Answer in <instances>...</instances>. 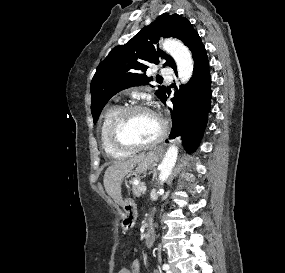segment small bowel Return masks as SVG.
Instances as JSON below:
<instances>
[{"mask_svg": "<svg viewBox=\"0 0 285 273\" xmlns=\"http://www.w3.org/2000/svg\"><path fill=\"white\" fill-rule=\"evenodd\" d=\"M124 268H125L124 273H142L141 263L138 260L133 261L129 268L126 267Z\"/></svg>", "mask_w": 285, "mask_h": 273, "instance_id": "obj_1", "label": "small bowel"}]
</instances>
